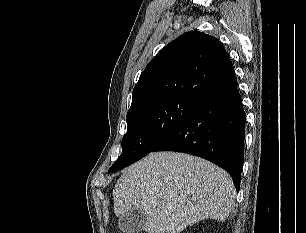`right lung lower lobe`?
<instances>
[{"label": "right lung lower lobe", "mask_w": 306, "mask_h": 233, "mask_svg": "<svg viewBox=\"0 0 306 233\" xmlns=\"http://www.w3.org/2000/svg\"><path fill=\"white\" fill-rule=\"evenodd\" d=\"M245 122L236 85L203 103L153 151L184 152L205 158L226 170L239 191Z\"/></svg>", "instance_id": "right-lung-lower-lobe-1"}]
</instances>
